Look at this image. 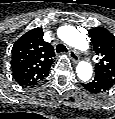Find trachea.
I'll list each match as a JSON object with an SVG mask.
<instances>
[{"label":"trachea","mask_w":115,"mask_h":119,"mask_svg":"<svg viewBox=\"0 0 115 119\" xmlns=\"http://www.w3.org/2000/svg\"><path fill=\"white\" fill-rule=\"evenodd\" d=\"M67 48L62 44V43H59L57 46H56V52L59 54V53H64V52H67Z\"/></svg>","instance_id":"1"}]
</instances>
